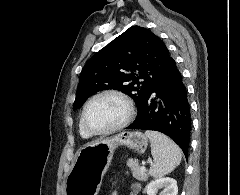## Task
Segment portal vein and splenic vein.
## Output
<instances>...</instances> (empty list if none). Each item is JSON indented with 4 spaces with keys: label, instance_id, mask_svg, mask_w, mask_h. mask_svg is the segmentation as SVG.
Masks as SVG:
<instances>
[{
    "label": "portal vein and splenic vein",
    "instance_id": "portal-vein-and-splenic-vein-1",
    "mask_svg": "<svg viewBox=\"0 0 240 195\" xmlns=\"http://www.w3.org/2000/svg\"><path fill=\"white\" fill-rule=\"evenodd\" d=\"M140 169H141V171H145V163H142Z\"/></svg>",
    "mask_w": 240,
    "mask_h": 195
}]
</instances>
